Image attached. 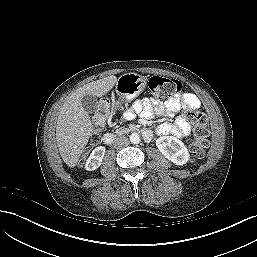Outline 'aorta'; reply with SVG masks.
<instances>
[{
	"label": "aorta",
	"mask_w": 257,
	"mask_h": 257,
	"mask_svg": "<svg viewBox=\"0 0 257 257\" xmlns=\"http://www.w3.org/2000/svg\"><path fill=\"white\" fill-rule=\"evenodd\" d=\"M130 142L132 144H139L140 142V135L138 133H132L129 137Z\"/></svg>",
	"instance_id": "obj_1"
}]
</instances>
